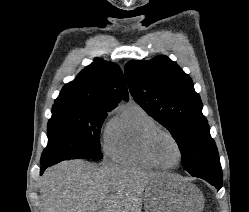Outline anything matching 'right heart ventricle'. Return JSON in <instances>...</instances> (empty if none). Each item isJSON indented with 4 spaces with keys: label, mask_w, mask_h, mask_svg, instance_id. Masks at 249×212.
I'll list each match as a JSON object with an SVG mask.
<instances>
[{
    "label": "right heart ventricle",
    "mask_w": 249,
    "mask_h": 212,
    "mask_svg": "<svg viewBox=\"0 0 249 212\" xmlns=\"http://www.w3.org/2000/svg\"><path fill=\"white\" fill-rule=\"evenodd\" d=\"M155 119L139 104L131 103L107 126L104 151L115 162L143 169H155L147 157L144 142L147 134L158 128Z\"/></svg>",
    "instance_id": "e07e8e85"
}]
</instances>
